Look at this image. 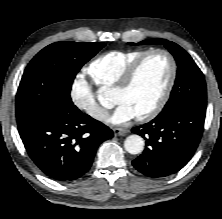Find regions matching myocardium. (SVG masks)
<instances>
[{"mask_svg":"<svg viewBox=\"0 0 222 219\" xmlns=\"http://www.w3.org/2000/svg\"><path fill=\"white\" fill-rule=\"evenodd\" d=\"M153 54H162L164 55L169 61V77L165 89L158 100V102L147 112L136 116L140 121H146L155 118L165 107L166 103L168 102L170 95L172 93L176 77H177V62L175 57L171 52L166 49L156 48L151 49L144 52L141 56H139L135 61H133L129 67L123 73L121 79L119 80L118 84L115 86L116 91H125L127 90L134 81V78L142 65V63L151 55Z\"/></svg>","mask_w":222,"mask_h":219,"instance_id":"myocardium-1","label":"myocardium"}]
</instances>
